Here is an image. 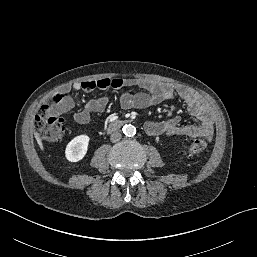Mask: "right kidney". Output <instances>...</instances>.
I'll return each mask as SVG.
<instances>
[{
    "mask_svg": "<svg viewBox=\"0 0 257 257\" xmlns=\"http://www.w3.org/2000/svg\"><path fill=\"white\" fill-rule=\"evenodd\" d=\"M89 140L90 138L87 135H79L73 138L66 146V159L70 162L82 160L87 153Z\"/></svg>",
    "mask_w": 257,
    "mask_h": 257,
    "instance_id": "1",
    "label": "right kidney"
}]
</instances>
